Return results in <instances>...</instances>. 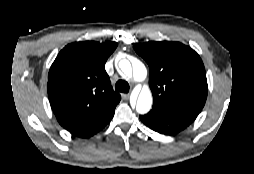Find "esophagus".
I'll list each match as a JSON object with an SVG mask.
<instances>
[{"label":"esophagus","mask_w":254,"mask_h":174,"mask_svg":"<svg viewBox=\"0 0 254 174\" xmlns=\"http://www.w3.org/2000/svg\"><path fill=\"white\" fill-rule=\"evenodd\" d=\"M124 100H128L130 97V94H122L121 95Z\"/></svg>","instance_id":"1"}]
</instances>
